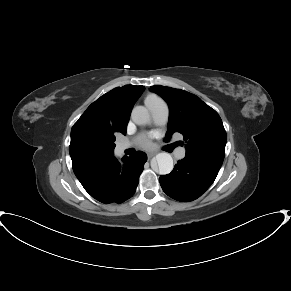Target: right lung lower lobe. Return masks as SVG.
<instances>
[{
    "mask_svg": "<svg viewBox=\"0 0 291 291\" xmlns=\"http://www.w3.org/2000/svg\"><path fill=\"white\" fill-rule=\"evenodd\" d=\"M147 156L136 152L119 162L114 155L73 163V171L84 189L102 203L124 202L132 197Z\"/></svg>",
    "mask_w": 291,
    "mask_h": 291,
    "instance_id": "right-lung-lower-lobe-1",
    "label": "right lung lower lobe"
}]
</instances>
